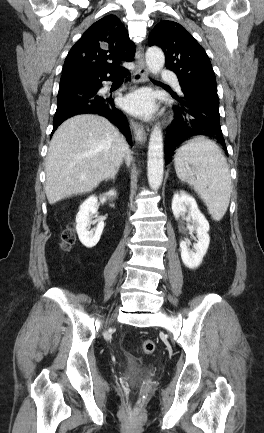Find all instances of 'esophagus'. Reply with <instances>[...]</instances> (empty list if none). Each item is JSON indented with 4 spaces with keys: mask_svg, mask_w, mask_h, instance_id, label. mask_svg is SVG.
I'll list each match as a JSON object with an SVG mask.
<instances>
[{
    "mask_svg": "<svg viewBox=\"0 0 264 433\" xmlns=\"http://www.w3.org/2000/svg\"><path fill=\"white\" fill-rule=\"evenodd\" d=\"M135 59H136V69L133 74V80L135 83L146 82L148 80V69L145 64L142 47H139L137 49L135 54ZM130 124L134 133L135 140L138 143L143 144L147 139V133L144 127L141 124L134 122L132 120Z\"/></svg>",
    "mask_w": 264,
    "mask_h": 433,
    "instance_id": "34e87169",
    "label": "esophagus"
}]
</instances>
